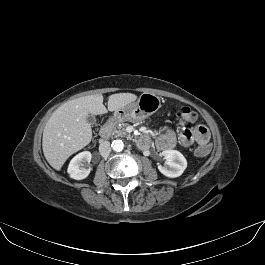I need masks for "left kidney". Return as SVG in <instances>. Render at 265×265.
Instances as JSON below:
<instances>
[{
  "instance_id": "left-kidney-1",
  "label": "left kidney",
  "mask_w": 265,
  "mask_h": 265,
  "mask_svg": "<svg viewBox=\"0 0 265 265\" xmlns=\"http://www.w3.org/2000/svg\"><path fill=\"white\" fill-rule=\"evenodd\" d=\"M164 157L165 165H159V171L166 177L176 178L182 175L187 167L186 158L177 150H164L161 153Z\"/></svg>"
}]
</instances>
